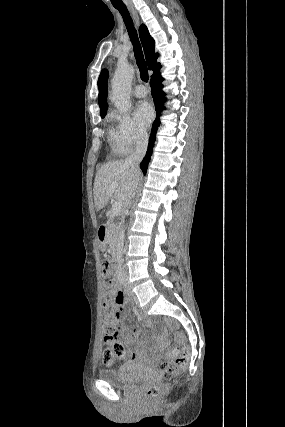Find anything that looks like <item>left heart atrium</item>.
Masks as SVG:
<instances>
[{
    "label": "left heart atrium",
    "instance_id": "obj_1",
    "mask_svg": "<svg viewBox=\"0 0 285 427\" xmlns=\"http://www.w3.org/2000/svg\"><path fill=\"white\" fill-rule=\"evenodd\" d=\"M135 119L143 128L147 127L154 117V111L150 103L140 101L134 111Z\"/></svg>",
    "mask_w": 285,
    "mask_h": 427
}]
</instances>
